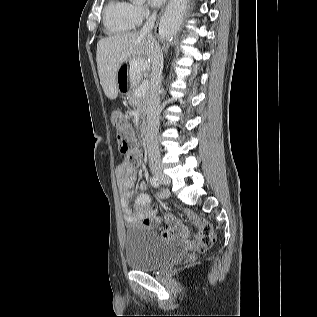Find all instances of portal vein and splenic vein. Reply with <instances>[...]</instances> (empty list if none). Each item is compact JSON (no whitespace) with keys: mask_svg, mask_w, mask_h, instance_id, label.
I'll list each match as a JSON object with an SVG mask.
<instances>
[{"mask_svg":"<svg viewBox=\"0 0 317 317\" xmlns=\"http://www.w3.org/2000/svg\"><path fill=\"white\" fill-rule=\"evenodd\" d=\"M144 65L145 63H141V66H144ZM148 88H149V82L148 81L142 82V84L136 89L135 95L136 96L144 95L147 92Z\"/></svg>","mask_w":317,"mask_h":317,"instance_id":"portal-vein-and-splenic-vein-1","label":"portal vein and splenic vein"}]
</instances>
